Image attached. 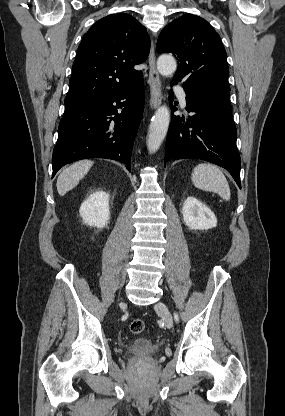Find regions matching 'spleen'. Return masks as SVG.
<instances>
[{"label": "spleen", "mask_w": 285, "mask_h": 416, "mask_svg": "<svg viewBox=\"0 0 285 416\" xmlns=\"http://www.w3.org/2000/svg\"><path fill=\"white\" fill-rule=\"evenodd\" d=\"M192 182L195 188L204 190V192H214L222 200H230L231 192L229 184L217 166L212 164H198L191 174Z\"/></svg>", "instance_id": "3e777b00"}]
</instances>
